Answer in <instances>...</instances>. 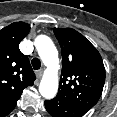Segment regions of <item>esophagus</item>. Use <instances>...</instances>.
Segmentation results:
<instances>
[{
	"mask_svg": "<svg viewBox=\"0 0 117 117\" xmlns=\"http://www.w3.org/2000/svg\"><path fill=\"white\" fill-rule=\"evenodd\" d=\"M42 74H43V70H42V69L38 70V71L36 72L37 78H41V77H42Z\"/></svg>",
	"mask_w": 117,
	"mask_h": 117,
	"instance_id": "1",
	"label": "esophagus"
}]
</instances>
